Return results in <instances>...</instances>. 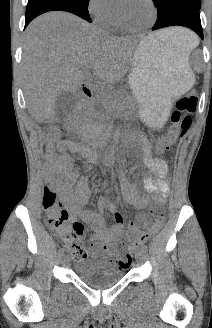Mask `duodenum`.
I'll list each match as a JSON object with an SVG mask.
<instances>
[{"label": "duodenum", "mask_w": 212, "mask_h": 328, "mask_svg": "<svg viewBox=\"0 0 212 328\" xmlns=\"http://www.w3.org/2000/svg\"><path fill=\"white\" fill-rule=\"evenodd\" d=\"M82 95L84 98H91L93 96V93H92V90L87 87V86H84L82 87ZM79 111V108H76L74 110V113L72 116H74L77 112ZM79 152H81L83 155L87 156V157H94L95 154H94V151L91 149V148H87V147H84V148H79Z\"/></svg>", "instance_id": "410a0bca"}]
</instances>
